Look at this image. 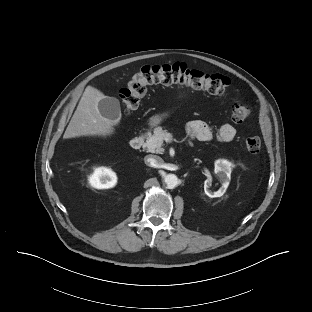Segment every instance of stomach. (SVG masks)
Here are the masks:
<instances>
[{
    "mask_svg": "<svg viewBox=\"0 0 312 312\" xmlns=\"http://www.w3.org/2000/svg\"><path fill=\"white\" fill-rule=\"evenodd\" d=\"M180 97H183L185 96V93H180L179 94ZM168 113L167 112H164V113H159V114H156L154 115L151 119H150V125L151 126H157L159 124H161L164 119H166L168 117Z\"/></svg>",
    "mask_w": 312,
    "mask_h": 312,
    "instance_id": "stomach-1",
    "label": "stomach"
}]
</instances>
